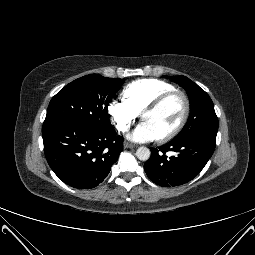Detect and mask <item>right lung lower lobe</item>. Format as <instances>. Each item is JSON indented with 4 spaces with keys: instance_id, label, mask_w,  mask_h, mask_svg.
Returning <instances> with one entry per match:
<instances>
[{
    "instance_id": "right-lung-lower-lobe-1",
    "label": "right lung lower lobe",
    "mask_w": 255,
    "mask_h": 255,
    "mask_svg": "<svg viewBox=\"0 0 255 255\" xmlns=\"http://www.w3.org/2000/svg\"><path fill=\"white\" fill-rule=\"evenodd\" d=\"M44 152L54 173L77 189L98 186L123 150L115 130L97 131L73 121L43 124Z\"/></svg>"
}]
</instances>
